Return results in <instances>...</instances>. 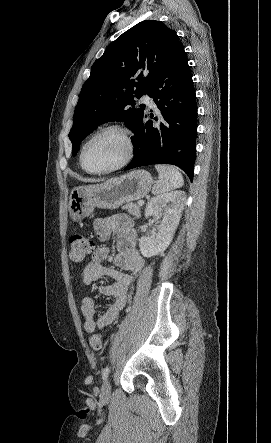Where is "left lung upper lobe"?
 Listing matches in <instances>:
<instances>
[{"label":"left lung upper lobe","instance_id":"obj_1","mask_svg":"<svg viewBox=\"0 0 271 443\" xmlns=\"http://www.w3.org/2000/svg\"><path fill=\"white\" fill-rule=\"evenodd\" d=\"M180 44L165 24L146 20L106 48L92 65L75 108L69 133L73 156L80 142L103 123L121 121L134 132L145 109L144 104L134 107V98L147 94L153 76Z\"/></svg>","mask_w":271,"mask_h":443}]
</instances>
